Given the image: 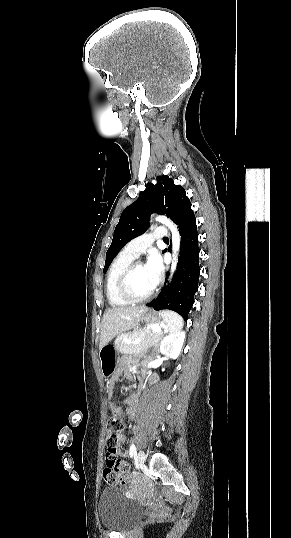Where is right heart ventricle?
Returning <instances> with one entry per match:
<instances>
[{"label": "right heart ventricle", "instance_id": "right-heart-ventricle-1", "mask_svg": "<svg viewBox=\"0 0 291 538\" xmlns=\"http://www.w3.org/2000/svg\"><path fill=\"white\" fill-rule=\"evenodd\" d=\"M135 257L124 249L112 261L106 278V296L111 306L120 307L130 304L123 299L118 291V280L124 270L133 262Z\"/></svg>", "mask_w": 291, "mask_h": 538}]
</instances>
